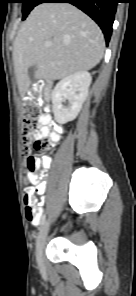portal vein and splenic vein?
Instances as JSON below:
<instances>
[{"instance_id": "portal-vein-and-splenic-vein-1", "label": "portal vein and splenic vein", "mask_w": 136, "mask_h": 296, "mask_svg": "<svg viewBox=\"0 0 136 296\" xmlns=\"http://www.w3.org/2000/svg\"><path fill=\"white\" fill-rule=\"evenodd\" d=\"M50 45H51V43H49V42H46V43H45V46H46V47H49Z\"/></svg>"}]
</instances>
